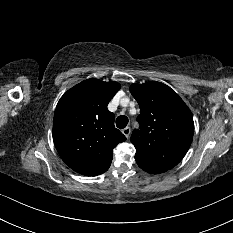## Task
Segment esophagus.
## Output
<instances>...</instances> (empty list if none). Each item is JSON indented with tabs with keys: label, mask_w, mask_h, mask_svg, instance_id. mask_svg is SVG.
<instances>
[{
	"label": "esophagus",
	"mask_w": 233,
	"mask_h": 233,
	"mask_svg": "<svg viewBox=\"0 0 233 233\" xmlns=\"http://www.w3.org/2000/svg\"><path fill=\"white\" fill-rule=\"evenodd\" d=\"M130 132H131L130 127H126L122 130V133L126 136V138H129Z\"/></svg>",
	"instance_id": "esophagus-1"
}]
</instances>
